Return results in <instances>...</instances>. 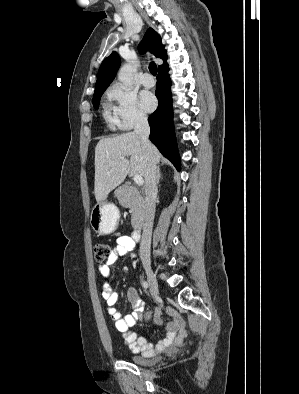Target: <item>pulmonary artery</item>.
<instances>
[{
    "mask_svg": "<svg viewBox=\"0 0 299 394\" xmlns=\"http://www.w3.org/2000/svg\"><path fill=\"white\" fill-rule=\"evenodd\" d=\"M141 83L143 86L150 88L155 84V80L150 73H144L141 77Z\"/></svg>",
    "mask_w": 299,
    "mask_h": 394,
    "instance_id": "1",
    "label": "pulmonary artery"
}]
</instances>
